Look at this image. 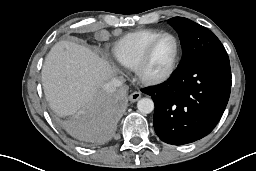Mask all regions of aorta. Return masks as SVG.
<instances>
[{"label":"aorta","instance_id":"obj_1","mask_svg":"<svg viewBox=\"0 0 256 171\" xmlns=\"http://www.w3.org/2000/svg\"><path fill=\"white\" fill-rule=\"evenodd\" d=\"M137 108L142 114H149L154 110V102L150 98H142L137 102Z\"/></svg>","mask_w":256,"mask_h":171}]
</instances>
